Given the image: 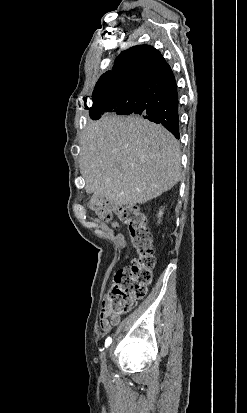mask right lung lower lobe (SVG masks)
Masks as SVG:
<instances>
[{"instance_id": "right-lung-lower-lobe-1", "label": "right lung lower lobe", "mask_w": 247, "mask_h": 413, "mask_svg": "<svg viewBox=\"0 0 247 413\" xmlns=\"http://www.w3.org/2000/svg\"><path fill=\"white\" fill-rule=\"evenodd\" d=\"M126 82L134 88L135 95L100 101L89 109L91 119H100L106 112L136 114L162 124L179 139L178 92L170 66L155 72H135Z\"/></svg>"}]
</instances>
